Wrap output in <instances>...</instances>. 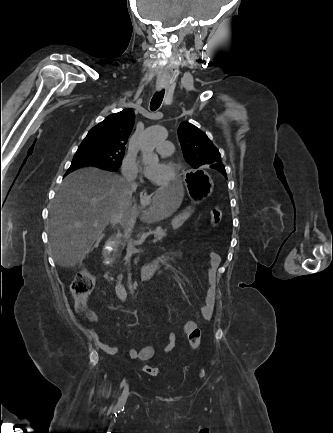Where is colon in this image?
Instances as JSON below:
<instances>
[{"mask_svg":"<svg viewBox=\"0 0 333 433\" xmlns=\"http://www.w3.org/2000/svg\"><path fill=\"white\" fill-rule=\"evenodd\" d=\"M210 219L213 225H218L221 222L222 209L219 206H214L211 208ZM94 284V277L88 271H83L75 277L71 285V292L75 298L76 310L78 312L89 315L86 301L94 288ZM188 337L192 348L197 349L201 342V332L199 328L193 329ZM144 371L151 376H157L160 373V369L158 367L151 365H145Z\"/></svg>","mask_w":333,"mask_h":433,"instance_id":"colon-1","label":"colon"}]
</instances>
